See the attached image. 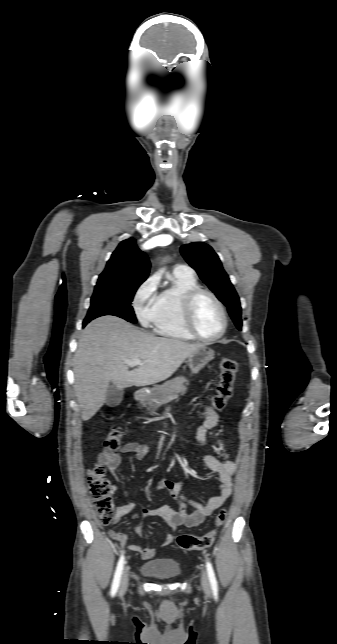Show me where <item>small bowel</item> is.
Segmentation results:
<instances>
[{"label":"small bowel","mask_w":337,"mask_h":644,"mask_svg":"<svg viewBox=\"0 0 337 644\" xmlns=\"http://www.w3.org/2000/svg\"><path fill=\"white\" fill-rule=\"evenodd\" d=\"M219 422V416L215 411L206 408V416L203 424L197 429L196 439L200 446L206 445V436L208 430L217 426ZM150 452V447L148 445H142L136 442L125 443L118 451L110 450L105 448L99 455V460L102 465H104L108 471L116 475V471L121 463L122 454H134L135 458L138 460L144 459ZM203 460L206 466L213 472L217 473L219 480V492L217 495L208 499L206 503H200L194 499L188 498L182 492L184 481L182 480H170L162 479L157 483V488L159 490L168 491L174 500L177 502L179 509L175 510L171 506L164 504L157 508H144L142 509V518H147L150 516H158L163 519V521L168 525L171 530L166 537L162 539L160 544L157 547H148L143 548L138 543H133L129 548L135 552L141 554L144 559L154 557L158 549L168 546L174 539L175 531L181 527H195L201 524L204 519L211 515L215 510L220 508L224 502L232 494V477L236 471V463L232 460H221L213 455H205ZM189 505L194 511L192 513H187L185 507ZM134 504L132 502H127L126 504L120 505L115 514L114 524L118 523L121 518L130 512ZM135 531L141 533L142 529L140 526H136ZM109 536L118 542L120 545H124L127 542L128 536L126 533L119 532L116 530H110Z\"/></svg>","instance_id":"1"}]
</instances>
